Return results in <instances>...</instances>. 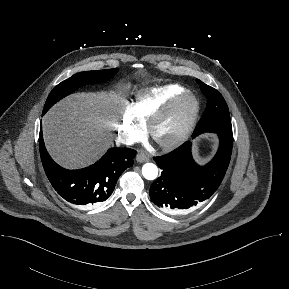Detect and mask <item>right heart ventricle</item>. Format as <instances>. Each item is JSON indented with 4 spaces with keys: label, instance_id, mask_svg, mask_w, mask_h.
I'll use <instances>...</instances> for the list:
<instances>
[{
    "label": "right heart ventricle",
    "instance_id": "e07e8e85",
    "mask_svg": "<svg viewBox=\"0 0 289 289\" xmlns=\"http://www.w3.org/2000/svg\"><path fill=\"white\" fill-rule=\"evenodd\" d=\"M184 90L186 88L180 84H167L141 92L132 104L133 112L142 123H145L166 101Z\"/></svg>",
    "mask_w": 289,
    "mask_h": 289
}]
</instances>
